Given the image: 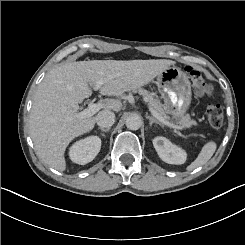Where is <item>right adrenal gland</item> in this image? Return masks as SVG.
<instances>
[{
    "label": "right adrenal gland",
    "mask_w": 245,
    "mask_h": 245,
    "mask_svg": "<svg viewBox=\"0 0 245 245\" xmlns=\"http://www.w3.org/2000/svg\"><path fill=\"white\" fill-rule=\"evenodd\" d=\"M99 129L103 132H107L109 130V128H102V127H99Z\"/></svg>",
    "instance_id": "obj_1"
}]
</instances>
